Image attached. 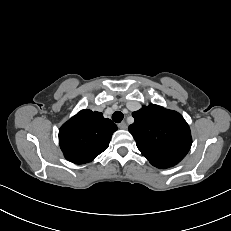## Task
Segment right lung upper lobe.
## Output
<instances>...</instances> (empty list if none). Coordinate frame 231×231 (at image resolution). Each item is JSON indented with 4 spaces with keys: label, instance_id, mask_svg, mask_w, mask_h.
<instances>
[{
    "label": "right lung upper lobe",
    "instance_id": "right-lung-upper-lobe-1",
    "mask_svg": "<svg viewBox=\"0 0 231 231\" xmlns=\"http://www.w3.org/2000/svg\"><path fill=\"white\" fill-rule=\"evenodd\" d=\"M116 130V124L101 112L81 110L60 128V147L70 162L88 163L108 148Z\"/></svg>",
    "mask_w": 231,
    "mask_h": 231
}]
</instances>
